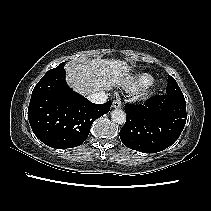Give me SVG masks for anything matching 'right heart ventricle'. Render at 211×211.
Returning <instances> with one entry per match:
<instances>
[{"mask_svg": "<svg viewBox=\"0 0 211 211\" xmlns=\"http://www.w3.org/2000/svg\"><path fill=\"white\" fill-rule=\"evenodd\" d=\"M154 81L152 75L143 73L127 78L124 86L127 90L136 92L150 86Z\"/></svg>", "mask_w": 211, "mask_h": 211, "instance_id": "1", "label": "right heart ventricle"}]
</instances>
